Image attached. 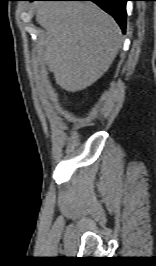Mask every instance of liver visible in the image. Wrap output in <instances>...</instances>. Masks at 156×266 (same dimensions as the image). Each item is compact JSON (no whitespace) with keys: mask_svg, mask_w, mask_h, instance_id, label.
Returning <instances> with one entry per match:
<instances>
[{"mask_svg":"<svg viewBox=\"0 0 156 266\" xmlns=\"http://www.w3.org/2000/svg\"><path fill=\"white\" fill-rule=\"evenodd\" d=\"M36 21L46 31L39 56L69 92L101 78L122 45L116 21L91 2L38 3Z\"/></svg>","mask_w":156,"mask_h":266,"instance_id":"liver-1","label":"liver"}]
</instances>
